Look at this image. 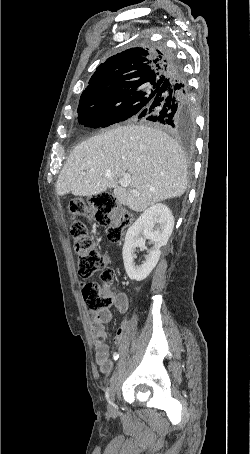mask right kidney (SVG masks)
Returning <instances> with one entry per match:
<instances>
[{
  "mask_svg": "<svg viewBox=\"0 0 250 454\" xmlns=\"http://www.w3.org/2000/svg\"><path fill=\"white\" fill-rule=\"evenodd\" d=\"M174 228V217L170 209L158 203L147 208L128 229L122 250L124 267L131 280L142 281L155 268L159 261L160 248L165 246ZM149 239L153 247L148 251L142 265H135L136 247L145 249Z\"/></svg>",
  "mask_w": 250,
  "mask_h": 454,
  "instance_id": "ca27d5eb",
  "label": "right kidney"
}]
</instances>
